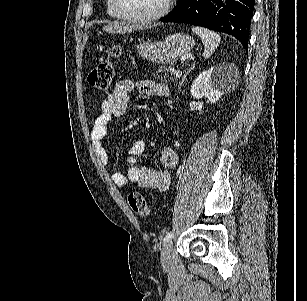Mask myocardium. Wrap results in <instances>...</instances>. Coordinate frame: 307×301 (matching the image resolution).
Returning a JSON list of instances; mask_svg holds the SVG:
<instances>
[{"label": "myocardium", "instance_id": "1", "mask_svg": "<svg viewBox=\"0 0 307 301\" xmlns=\"http://www.w3.org/2000/svg\"><path fill=\"white\" fill-rule=\"evenodd\" d=\"M122 0H111L110 11L113 16L118 17V22H152L153 18L164 17L173 0H164L159 11H135L120 10Z\"/></svg>", "mask_w": 307, "mask_h": 301}]
</instances>
